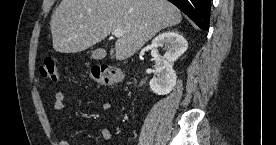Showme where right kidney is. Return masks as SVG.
I'll return each mask as SVG.
<instances>
[{
	"label": "right kidney",
	"instance_id": "right-kidney-1",
	"mask_svg": "<svg viewBox=\"0 0 276 145\" xmlns=\"http://www.w3.org/2000/svg\"><path fill=\"white\" fill-rule=\"evenodd\" d=\"M165 45L164 56H160L157 47ZM151 55L156 62V76L149 82L153 93L166 95L176 85V73L173 62L176 61L188 48L185 38L176 31H166L159 34L152 41Z\"/></svg>",
	"mask_w": 276,
	"mask_h": 145
}]
</instances>
